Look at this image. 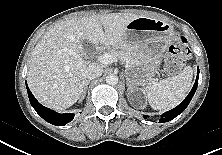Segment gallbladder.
<instances>
[{
    "mask_svg": "<svg viewBox=\"0 0 222 155\" xmlns=\"http://www.w3.org/2000/svg\"><path fill=\"white\" fill-rule=\"evenodd\" d=\"M83 49L84 51H86L87 53H91L94 51V47L92 46V44L87 41V40H84L83 41Z\"/></svg>",
    "mask_w": 222,
    "mask_h": 155,
    "instance_id": "bac80fb5",
    "label": "gallbladder"
}]
</instances>
